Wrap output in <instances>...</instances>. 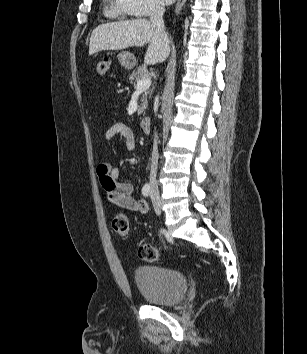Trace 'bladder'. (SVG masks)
<instances>
[{
  "label": "bladder",
  "mask_w": 307,
  "mask_h": 354,
  "mask_svg": "<svg viewBox=\"0 0 307 354\" xmlns=\"http://www.w3.org/2000/svg\"><path fill=\"white\" fill-rule=\"evenodd\" d=\"M134 280L145 300L156 305L179 303L188 287L183 273L158 265L138 266L134 271Z\"/></svg>",
  "instance_id": "31cf9c89"
}]
</instances>
